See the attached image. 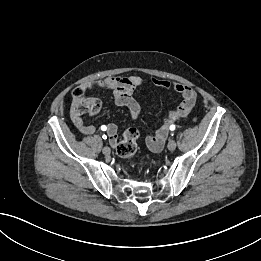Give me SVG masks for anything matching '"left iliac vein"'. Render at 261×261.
<instances>
[{"instance_id":"obj_1","label":"left iliac vein","mask_w":261,"mask_h":261,"mask_svg":"<svg viewBox=\"0 0 261 261\" xmlns=\"http://www.w3.org/2000/svg\"><path fill=\"white\" fill-rule=\"evenodd\" d=\"M167 148H168L170 151L175 150V148H176V142H175V140L170 139L169 142H168Z\"/></svg>"}]
</instances>
